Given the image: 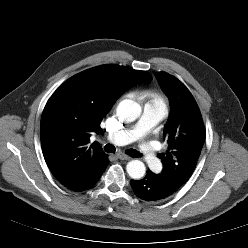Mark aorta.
Returning a JSON list of instances; mask_svg holds the SVG:
<instances>
[{
  "label": "aorta",
  "mask_w": 248,
  "mask_h": 248,
  "mask_svg": "<svg viewBox=\"0 0 248 248\" xmlns=\"http://www.w3.org/2000/svg\"><path fill=\"white\" fill-rule=\"evenodd\" d=\"M116 113L120 120L133 122L140 116L141 108L135 101L125 99L117 106ZM126 170L131 178L138 180L145 175L146 167L140 160H132L127 163Z\"/></svg>",
  "instance_id": "762f6f07"
}]
</instances>
